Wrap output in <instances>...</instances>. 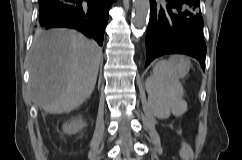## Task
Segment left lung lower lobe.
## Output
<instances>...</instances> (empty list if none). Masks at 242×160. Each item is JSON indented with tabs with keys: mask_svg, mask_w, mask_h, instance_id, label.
<instances>
[{
	"mask_svg": "<svg viewBox=\"0 0 242 160\" xmlns=\"http://www.w3.org/2000/svg\"><path fill=\"white\" fill-rule=\"evenodd\" d=\"M146 34V64L164 54L181 53L196 58L205 68L206 44L200 0H150Z\"/></svg>",
	"mask_w": 242,
	"mask_h": 160,
	"instance_id": "1",
	"label": "left lung lower lobe"
}]
</instances>
